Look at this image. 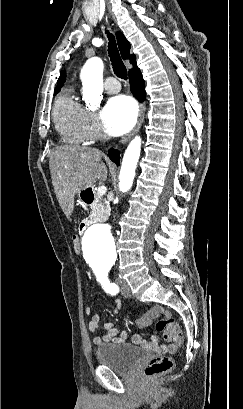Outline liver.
Returning <instances> with one entry per match:
<instances>
[{
	"label": "liver",
	"instance_id": "6515ba94",
	"mask_svg": "<svg viewBox=\"0 0 243 409\" xmlns=\"http://www.w3.org/2000/svg\"><path fill=\"white\" fill-rule=\"evenodd\" d=\"M102 156L98 149L84 146H59L50 152L52 185L67 219L73 212L75 193L92 187L97 180H106L108 171Z\"/></svg>",
	"mask_w": 243,
	"mask_h": 409
}]
</instances>
